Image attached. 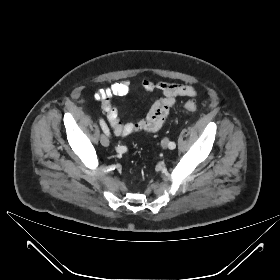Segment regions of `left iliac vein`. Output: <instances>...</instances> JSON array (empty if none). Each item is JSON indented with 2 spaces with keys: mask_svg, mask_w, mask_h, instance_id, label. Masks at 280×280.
Masks as SVG:
<instances>
[{
  "mask_svg": "<svg viewBox=\"0 0 280 280\" xmlns=\"http://www.w3.org/2000/svg\"><path fill=\"white\" fill-rule=\"evenodd\" d=\"M169 145V139L168 138H164L162 141H161V146L162 148H167Z\"/></svg>",
  "mask_w": 280,
  "mask_h": 280,
  "instance_id": "obj_1",
  "label": "left iliac vein"
}]
</instances>
